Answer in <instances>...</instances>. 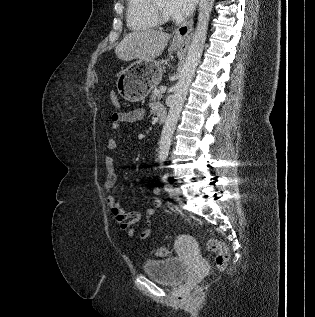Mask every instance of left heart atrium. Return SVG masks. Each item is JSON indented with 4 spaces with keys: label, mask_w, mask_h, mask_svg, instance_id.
I'll use <instances>...</instances> for the list:
<instances>
[{
    "label": "left heart atrium",
    "mask_w": 315,
    "mask_h": 317,
    "mask_svg": "<svg viewBox=\"0 0 315 317\" xmlns=\"http://www.w3.org/2000/svg\"><path fill=\"white\" fill-rule=\"evenodd\" d=\"M195 0H167L166 12L170 17L182 19L188 16L194 7Z\"/></svg>",
    "instance_id": "39dd6f15"
}]
</instances>
